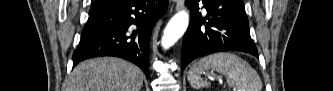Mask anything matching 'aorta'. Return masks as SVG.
Segmentation results:
<instances>
[{
	"label": "aorta",
	"instance_id": "aorta-1",
	"mask_svg": "<svg viewBox=\"0 0 333 91\" xmlns=\"http://www.w3.org/2000/svg\"><path fill=\"white\" fill-rule=\"evenodd\" d=\"M189 24V14L186 10L176 13L168 22L162 39L161 45L164 49L173 46L178 39L185 33Z\"/></svg>",
	"mask_w": 333,
	"mask_h": 91
}]
</instances>
